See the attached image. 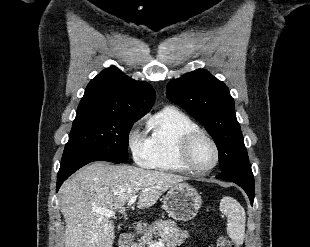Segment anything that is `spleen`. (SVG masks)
Wrapping results in <instances>:
<instances>
[{
	"mask_svg": "<svg viewBox=\"0 0 310 247\" xmlns=\"http://www.w3.org/2000/svg\"><path fill=\"white\" fill-rule=\"evenodd\" d=\"M220 210L227 217V234L239 246L244 242L245 236V211L237 200L224 197L220 202Z\"/></svg>",
	"mask_w": 310,
	"mask_h": 247,
	"instance_id": "3e777b00",
	"label": "spleen"
}]
</instances>
